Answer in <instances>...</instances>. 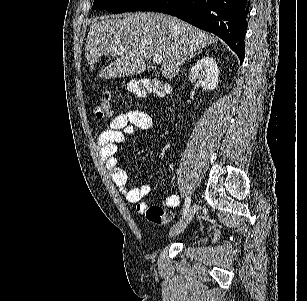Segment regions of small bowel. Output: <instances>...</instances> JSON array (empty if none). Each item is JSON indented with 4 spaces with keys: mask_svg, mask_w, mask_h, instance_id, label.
Segmentation results:
<instances>
[{
    "mask_svg": "<svg viewBox=\"0 0 307 301\" xmlns=\"http://www.w3.org/2000/svg\"><path fill=\"white\" fill-rule=\"evenodd\" d=\"M151 126L152 119L147 113L132 109L118 114L107 123L97 137V147L113 182L127 203L135 207L140 214H143L147 209V205L141 200L150 194L151 186L143 184L138 187H130L127 172L118 163L116 153L119 145L126 142L127 135L148 130ZM179 204L180 197L176 194L168 196L164 201V205L171 208L177 207Z\"/></svg>",
    "mask_w": 307,
    "mask_h": 301,
    "instance_id": "c3829d8e",
    "label": "small bowel"
}]
</instances>
